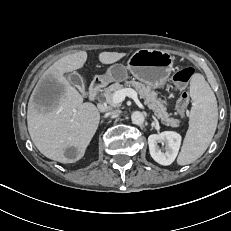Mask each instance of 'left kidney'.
Returning a JSON list of instances; mask_svg holds the SVG:
<instances>
[{"mask_svg": "<svg viewBox=\"0 0 231 231\" xmlns=\"http://www.w3.org/2000/svg\"><path fill=\"white\" fill-rule=\"evenodd\" d=\"M181 140V135L173 131L150 135L148 145L151 157L161 165H170L177 157ZM158 143L165 144V151L161 150Z\"/></svg>", "mask_w": 231, "mask_h": 231, "instance_id": "1", "label": "left kidney"}]
</instances>
